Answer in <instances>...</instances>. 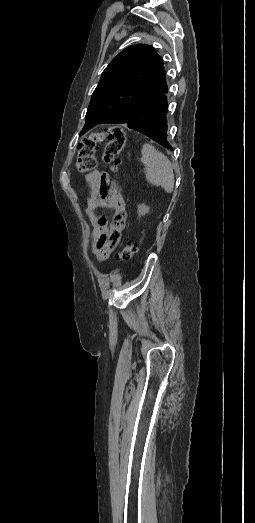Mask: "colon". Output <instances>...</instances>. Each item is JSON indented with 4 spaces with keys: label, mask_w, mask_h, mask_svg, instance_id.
Returning a JSON list of instances; mask_svg holds the SVG:
<instances>
[{
    "label": "colon",
    "mask_w": 255,
    "mask_h": 523,
    "mask_svg": "<svg viewBox=\"0 0 255 523\" xmlns=\"http://www.w3.org/2000/svg\"><path fill=\"white\" fill-rule=\"evenodd\" d=\"M125 141V132L119 126L108 127L86 136L78 145L77 170L81 173L92 171L96 166V148L105 143L102 155L103 162L112 172H117ZM136 253V245L129 243L117 254V258L121 261H130Z\"/></svg>",
    "instance_id": "colon-1"
}]
</instances>
